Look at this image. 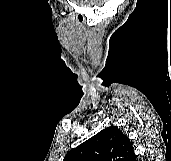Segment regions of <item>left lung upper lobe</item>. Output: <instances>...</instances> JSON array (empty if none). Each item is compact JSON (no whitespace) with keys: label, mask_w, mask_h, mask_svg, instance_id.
Returning <instances> with one entry per match:
<instances>
[{"label":"left lung upper lobe","mask_w":171,"mask_h":161,"mask_svg":"<svg viewBox=\"0 0 171 161\" xmlns=\"http://www.w3.org/2000/svg\"><path fill=\"white\" fill-rule=\"evenodd\" d=\"M134 156L130 139L110 126L70 150L63 161H131Z\"/></svg>","instance_id":"5c2ea615"}]
</instances>
